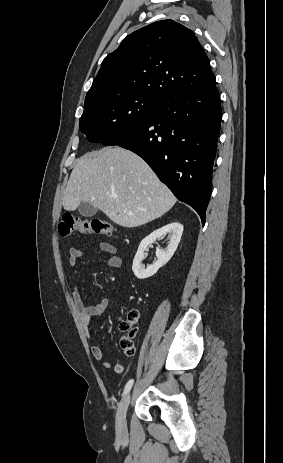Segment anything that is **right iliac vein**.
Returning <instances> with one entry per match:
<instances>
[{"instance_id":"63e3f726","label":"right iliac vein","mask_w":283,"mask_h":463,"mask_svg":"<svg viewBox=\"0 0 283 463\" xmlns=\"http://www.w3.org/2000/svg\"><path fill=\"white\" fill-rule=\"evenodd\" d=\"M130 403V393H127L121 400L116 414V432L118 437L127 436L126 412Z\"/></svg>"}]
</instances>
